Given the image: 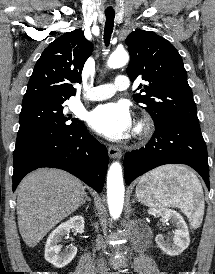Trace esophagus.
Returning a JSON list of instances; mask_svg holds the SVG:
<instances>
[{
    "label": "esophagus",
    "mask_w": 215,
    "mask_h": 274,
    "mask_svg": "<svg viewBox=\"0 0 215 274\" xmlns=\"http://www.w3.org/2000/svg\"><path fill=\"white\" fill-rule=\"evenodd\" d=\"M108 154L110 158H121L122 151L116 146H109L108 148Z\"/></svg>",
    "instance_id": "obj_1"
}]
</instances>
